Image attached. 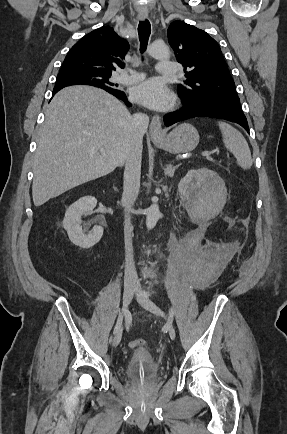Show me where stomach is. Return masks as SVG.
I'll return each instance as SVG.
<instances>
[{
	"instance_id": "stomach-1",
	"label": "stomach",
	"mask_w": 287,
	"mask_h": 434,
	"mask_svg": "<svg viewBox=\"0 0 287 434\" xmlns=\"http://www.w3.org/2000/svg\"><path fill=\"white\" fill-rule=\"evenodd\" d=\"M153 143L170 153H186L198 145L199 134L192 125L183 123L165 137L159 140L153 139Z\"/></svg>"
}]
</instances>
